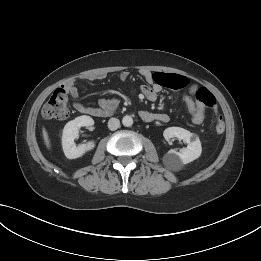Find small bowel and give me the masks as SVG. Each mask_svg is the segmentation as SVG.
Instances as JSON below:
<instances>
[{
	"instance_id": "1",
	"label": "small bowel",
	"mask_w": 261,
	"mask_h": 261,
	"mask_svg": "<svg viewBox=\"0 0 261 261\" xmlns=\"http://www.w3.org/2000/svg\"><path fill=\"white\" fill-rule=\"evenodd\" d=\"M141 75L148 83V85H144L141 87V92L150 101H153L157 98L158 94L161 92L164 86L172 89H182L189 84V80L186 77L177 74L154 73L149 70H142ZM128 76V72L123 71L120 74V79L124 81L128 78ZM105 77V73L97 72L86 75L84 79L87 81H98L104 79ZM64 89L73 98H77L79 95L75 80L68 81L64 85ZM196 92L197 87L191 85L189 87V93L184 94L182 99L187 110L192 114V122L196 125H200L204 120V108L199 106L197 101L193 99V96L196 95ZM114 106L115 102L110 99H102L100 101V108L90 107L84 105L81 102L74 103V108L78 112L89 115H95V113L99 111L109 112L114 108ZM140 115L143 120L148 122L158 121L165 123L169 120L168 115L164 113L141 111ZM147 118L148 120H146Z\"/></svg>"
}]
</instances>
